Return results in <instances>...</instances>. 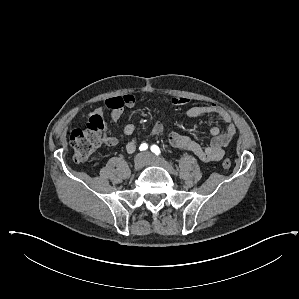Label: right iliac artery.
Wrapping results in <instances>:
<instances>
[{"label": "right iliac artery", "instance_id": "82829eb1", "mask_svg": "<svg viewBox=\"0 0 299 299\" xmlns=\"http://www.w3.org/2000/svg\"><path fill=\"white\" fill-rule=\"evenodd\" d=\"M148 148V145L146 143H142L139 147L140 151H145Z\"/></svg>", "mask_w": 299, "mask_h": 299}]
</instances>
